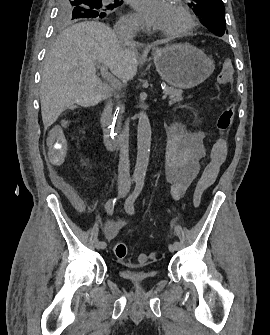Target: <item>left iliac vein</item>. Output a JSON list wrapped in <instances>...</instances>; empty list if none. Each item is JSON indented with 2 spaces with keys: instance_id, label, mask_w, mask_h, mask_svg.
<instances>
[{
  "instance_id": "obj_1",
  "label": "left iliac vein",
  "mask_w": 270,
  "mask_h": 335,
  "mask_svg": "<svg viewBox=\"0 0 270 335\" xmlns=\"http://www.w3.org/2000/svg\"><path fill=\"white\" fill-rule=\"evenodd\" d=\"M170 252H175L177 248L174 246V244H169L168 246Z\"/></svg>"
}]
</instances>
